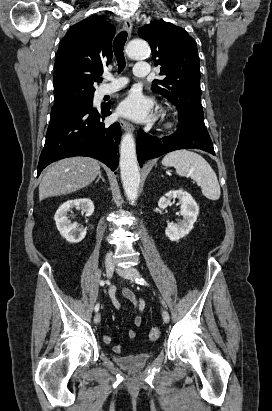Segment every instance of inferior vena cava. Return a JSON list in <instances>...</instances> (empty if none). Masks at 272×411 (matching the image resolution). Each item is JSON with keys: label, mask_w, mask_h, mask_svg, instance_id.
I'll return each instance as SVG.
<instances>
[{"label": "inferior vena cava", "mask_w": 272, "mask_h": 411, "mask_svg": "<svg viewBox=\"0 0 272 411\" xmlns=\"http://www.w3.org/2000/svg\"><path fill=\"white\" fill-rule=\"evenodd\" d=\"M111 260H112V253H108V254L106 255V261H107V262H111Z\"/></svg>", "instance_id": "obj_1"}]
</instances>
